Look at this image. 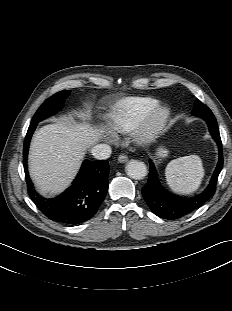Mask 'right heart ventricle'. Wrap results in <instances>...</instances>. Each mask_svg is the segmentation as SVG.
<instances>
[{
    "label": "right heart ventricle",
    "mask_w": 232,
    "mask_h": 311,
    "mask_svg": "<svg viewBox=\"0 0 232 311\" xmlns=\"http://www.w3.org/2000/svg\"><path fill=\"white\" fill-rule=\"evenodd\" d=\"M157 105H159V101L149 96L124 98L114 106L108 115V126L116 134L129 133Z\"/></svg>",
    "instance_id": "1"
}]
</instances>
